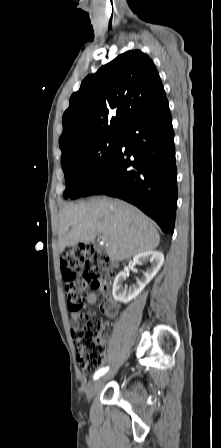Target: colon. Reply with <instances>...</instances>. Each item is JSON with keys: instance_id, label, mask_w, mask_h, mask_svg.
Segmentation results:
<instances>
[{"instance_id": "obj_1", "label": "colon", "mask_w": 221, "mask_h": 448, "mask_svg": "<svg viewBox=\"0 0 221 448\" xmlns=\"http://www.w3.org/2000/svg\"><path fill=\"white\" fill-rule=\"evenodd\" d=\"M61 272L67 281V306L71 311H83L89 289L106 286L110 272L108 254L93 245H75L61 256ZM85 324L73 330V341L83 371L97 372L105 358L103 323L83 313Z\"/></svg>"}]
</instances>
